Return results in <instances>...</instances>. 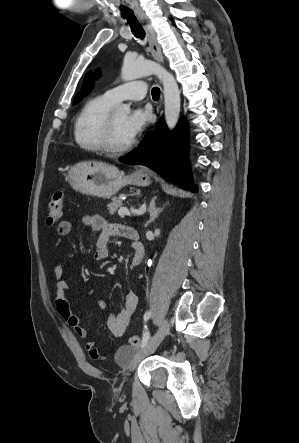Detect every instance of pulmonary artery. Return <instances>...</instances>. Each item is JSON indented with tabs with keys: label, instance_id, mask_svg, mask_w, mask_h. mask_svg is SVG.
I'll list each match as a JSON object with an SVG mask.
<instances>
[{
	"label": "pulmonary artery",
	"instance_id": "pulmonary-artery-1",
	"mask_svg": "<svg viewBox=\"0 0 299 443\" xmlns=\"http://www.w3.org/2000/svg\"><path fill=\"white\" fill-rule=\"evenodd\" d=\"M146 93V82L136 80L113 87L107 90L104 95L115 103L122 100H141L145 97Z\"/></svg>",
	"mask_w": 299,
	"mask_h": 443
}]
</instances>
